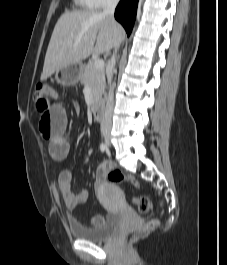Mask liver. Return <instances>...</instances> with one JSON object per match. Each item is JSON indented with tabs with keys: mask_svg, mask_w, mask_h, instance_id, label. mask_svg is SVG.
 <instances>
[{
	"mask_svg": "<svg viewBox=\"0 0 227 265\" xmlns=\"http://www.w3.org/2000/svg\"><path fill=\"white\" fill-rule=\"evenodd\" d=\"M124 37L123 27L101 12H65L54 27L41 80L47 79L60 68L81 63L91 54L108 53Z\"/></svg>",
	"mask_w": 227,
	"mask_h": 265,
	"instance_id": "6515ba94",
	"label": "liver"
}]
</instances>
